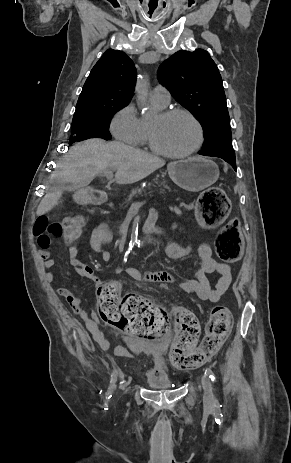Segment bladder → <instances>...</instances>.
I'll list each match as a JSON object with an SVG mask.
<instances>
[{"mask_svg":"<svg viewBox=\"0 0 291 463\" xmlns=\"http://www.w3.org/2000/svg\"><path fill=\"white\" fill-rule=\"evenodd\" d=\"M126 347L134 354H148L153 362L152 369L146 374L145 379L150 388L164 389L177 386L179 383L173 381L165 368L164 356L157 352H149L148 345L137 342L134 339H127Z\"/></svg>","mask_w":291,"mask_h":463,"instance_id":"1","label":"bladder"}]
</instances>
